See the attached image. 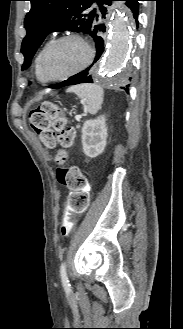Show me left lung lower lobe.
Here are the masks:
<instances>
[{"instance_id":"left-lung-lower-lobe-1","label":"left lung lower lobe","mask_w":183,"mask_h":329,"mask_svg":"<svg viewBox=\"0 0 183 329\" xmlns=\"http://www.w3.org/2000/svg\"><path fill=\"white\" fill-rule=\"evenodd\" d=\"M113 1H125L126 5L131 9L134 18L136 19V24L138 25V10H139L138 2L141 0H106L105 3L99 7L100 15L98 14L95 15L93 26L88 33L95 42L96 55L93 63L97 62L101 58L105 50L104 37L100 35V31L105 32V26L104 24H102L101 19L105 18V15L108 11L105 5H111V2ZM91 66L85 69L84 71L71 76L70 78L59 83L53 88H60L63 86L76 85L80 83H93L92 77L89 74ZM121 88L124 89L127 93L129 92V85H126L125 87H121Z\"/></svg>"}]
</instances>
